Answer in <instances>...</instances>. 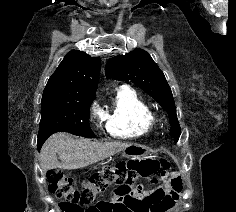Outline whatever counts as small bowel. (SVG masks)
Masks as SVG:
<instances>
[{"mask_svg":"<svg viewBox=\"0 0 236 212\" xmlns=\"http://www.w3.org/2000/svg\"><path fill=\"white\" fill-rule=\"evenodd\" d=\"M161 176L171 183L169 189L145 190L143 184H151V176L116 179V187L110 190L108 199H96L100 205H90L84 212H167L178 198L181 183L167 167L161 170Z\"/></svg>","mask_w":236,"mask_h":212,"instance_id":"obj_1","label":"small bowel"}]
</instances>
